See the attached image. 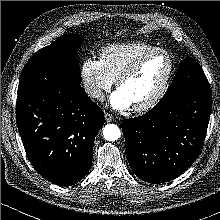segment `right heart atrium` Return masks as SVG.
Listing matches in <instances>:
<instances>
[{"label": "right heart atrium", "instance_id": "obj_1", "mask_svg": "<svg viewBox=\"0 0 220 220\" xmlns=\"http://www.w3.org/2000/svg\"><path fill=\"white\" fill-rule=\"evenodd\" d=\"M81 80L86 94L93 100H102L104 92L109 90L113 79L105 71L100 59L90 56L81 65Z\"/></svg>", "mask_w": 220, "mask_h": 220}]
</instances>
